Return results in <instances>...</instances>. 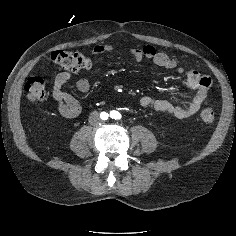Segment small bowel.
Returning <instances> with one entry per match:
<instances>
[{"label":"small bowel","instance_id":"1","mask_svg":"<svg viewBox=\"0 0 236 236\" xmlns=\"http://www.w3.org/2000/svg\"><path fill=\"white\" fill-rule=\"evenodd\" d=\"M112 50L113 46L111 44H99L93 48L92 54L100 55ZM127 53L135 61L149 59L159 67L176 70L178 74L184 76L182 82L183 88L193 92L192 98L184 104H177L168 99H155L150 96H143L139 100V104L142 107L153 108L157 111L173 115L176 118L185 119L193 116L207 103V93L211 85V80L207 76L202 75L196 70L185 71L183 67L178 66L174 58L164 52L158 51L151 45H146L142 48H128ZM70 79V72H60L55 77L52 88V96L57 104L58 113L65 118H74L81 112L79 101L63 90L64 85ZM76 87L80 92L87 93L90 90V82L87 78H80L76 82Z\"/></svg>","mask_w":236,"mask_h":236}]
</instances>
